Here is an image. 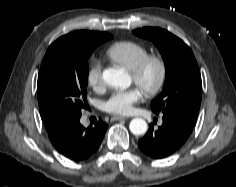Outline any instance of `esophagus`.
<instances>
[{"label": "esophagus", "mask_w": 236, "mask_h": 187, "mask_svg": "<svg viewBox=\"0 0 236 187\" xmlns=\"http://www.w3.org/2000/svg\"><path fill=\"white\" fill-rule=\"evenodd\" d=\"M125 119H127V117L119 116V115L112 116L111 118L112 121L125 120Z\"/></svg>", "instance_id": "obj_1"}]
</instances>
